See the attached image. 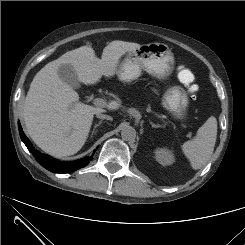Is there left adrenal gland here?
I'll return each mask as SVG.
<instances>
[{
  "mask_svg": "<svg viewBox=\"0 0 245 245\" xmlns=\"http://www.w3.org/2000/svg\"><path fill=\"white\" fill-rule=\"evenodd\" d=\"M150 124H151V126H152L153 128H159V127H162V125H160V124H155V123H153L152 121H150Z\"/></svg>",
  "mask_w": 245,
  "mask_h": 245,
  "instance_id": "obj_1",
  "label": "left adrenal gland"
}]
</instances>
